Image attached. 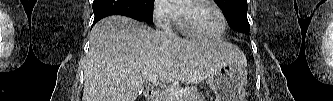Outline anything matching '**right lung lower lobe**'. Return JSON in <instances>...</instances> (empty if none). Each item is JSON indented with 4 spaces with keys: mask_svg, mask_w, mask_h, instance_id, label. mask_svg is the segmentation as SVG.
<instances>
[{
    "mask_svg": "<svg viewBox=\"0 0 333 101\" xmlns=\"http://www.w3.org/2000/svg\"><path fill=\"white\" fill-rule=\"evenodd\" d=\"M93 12V25L110 15H123L151 23L135 0H94Z\"/></svg>",
    "mask_w": 333,
    "mask_h": 101,
    "instance_id": "98d812e1",
    "label": "right lung lower lobe"
}]
</instances>
